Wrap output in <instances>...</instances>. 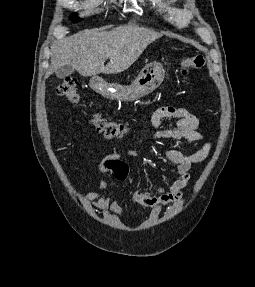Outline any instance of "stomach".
Returning <instances> with one entry per match:
<instances>
[{
  "instance_id": "1",
  "label": "stomach",
  "mask_w": 255,
  "mask_h": 287,
  "mask_svg": "<svg viewBox=\"0 0 255 287\" xmlns=\"http://www.w3.org/2000/svg\"><path fill=\"white\" fill-rule=\"evenodd\" d=\"M165 74L163 70L158 72H141L131 86H120V84H108L99 76H93L90 80L92 90L101 94L108 100H121V102H135L147 94H151L155 88L163 82Z\"/></svg>"
}]
</instances>
